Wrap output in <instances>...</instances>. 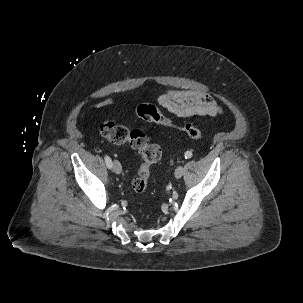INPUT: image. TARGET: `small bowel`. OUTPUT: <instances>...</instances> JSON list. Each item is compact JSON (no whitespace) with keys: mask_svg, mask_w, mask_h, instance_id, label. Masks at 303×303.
I'll list each match as a JSON object with an SVG mask.
<instances>
[{"mask_svg":"<svg viewBox=\"0 0 303 303\" xmlns=\"http://www.w3.org/2000/svg\"><path fill=\"white\" fill-rule=\"evenodd\" d=\"M158 102L178 117H213L222 113V108L209 94L193 89L166 90L159 96ZM111 103L112 99L106 98L96 103L94 107H104Z\"/></svg>","mask_w":303,"mask_h":303,"instance_id":"c3829d8e","label":"small bowel"}]
</instances>
